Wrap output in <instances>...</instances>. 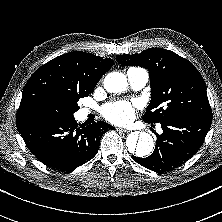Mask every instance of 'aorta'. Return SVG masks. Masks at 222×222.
I'll list each match as a JSON object with an SVG mask.
<instances>
[{"mask_svg":"<svg viewBox=\"0 0 222 222\" xmlns=\"http://www.w3.org/2000/svg\"><path fill=\"white\" fill-rule=\"evenodd\" d=\"M127 86V78L121 72H112L104 79V88L109 93H121L126 90ZM126 146L130 153L143 158L153 151V137L146 132H133L128 136Z\"/></svg>","mask_w":222,"mask_h":222,"instance_id":"1","label":"aorta"}]
</instances>
